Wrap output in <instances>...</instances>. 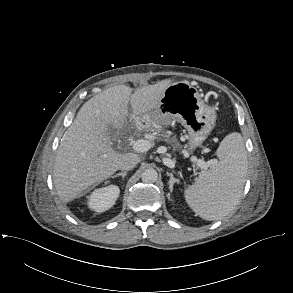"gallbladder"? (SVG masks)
Instances as JSON below:
<instances>
[{"label": "gallbladder", "mask_w": 293, "mask_h": 293, "mask_svg": "<svg viewBox=\"0 0 293 293\" xmlns=\"http://www.w3.org/2000/svg\"><path fill=\"white\" fill-rule=\"evenodd\" d=\"M110 136L112 137L113 140L116 139V134H117V130L116 129H113V128H110Z\"/></svg>", "instance_id": "1"}]
</instances>
